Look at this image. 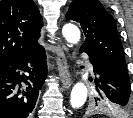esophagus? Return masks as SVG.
I'll use <instances>...</instances> for the list:
<instances>
[{
	"mask_svg": "<svg viewBox=\"0 0 133 118\" xmlns=\"http://www.w3.org/2000/svg\"><path fill=\"white\" fill-rule=\"evenodd\" d=\"M55 60L61 83L65 88H69L72 83V79L64 51L60 45H57L55 48Z\"/></svg>",
	"mask_w": 133,
	"mask_h": 118,
	"instance_id": "esophagus-1",
	"label": "esophagus"
}]
</instances>
